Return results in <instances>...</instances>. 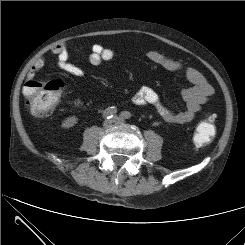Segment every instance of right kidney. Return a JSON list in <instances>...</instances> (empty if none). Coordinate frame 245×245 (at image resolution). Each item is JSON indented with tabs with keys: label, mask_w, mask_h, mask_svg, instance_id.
I'll use <instances>...</instances> for the list:
<instances>
[{
	"label": "right kidney",
	"mask_w": 245,
	"mask_h": 245,
	"mask_svg": "<svg viewBox=\"0 0 245 245\" xmlns=\"http://www.w3.org/2000/svg\"><path fill=\"white\" fill-rule=\"evenodd\" d=\"M77 121L78 118L75 116L67 117L62 123V127L64 128L73 127L75 124H77Z\"/></svg>",
	"instance_id": "ca27d5eb"
}]
</instances>
